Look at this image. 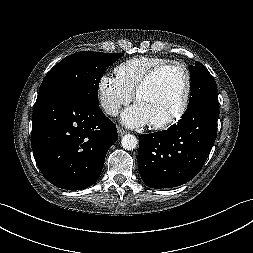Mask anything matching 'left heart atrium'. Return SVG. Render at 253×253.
Returning a JSON list of instances; mask_svg holds the SVG:
<instances>
[{
  "instance_id": "39dd6f15",
  "label": "left heart atrium",
  "mask_w": 253,
  "mask_h": 253,
  "mask_svg": "<svg viewBox=\"0 0 253 253\" xmlns=\"http://www.w3.org/2000/svg\"><path fill=\"white\" fill-rule=\"evenodd\" d=\"M122 122L129 127H140L148 124L149 118L143 108L135 104L126 109L122 114Z\"/></svg>"
}]
</instances>
